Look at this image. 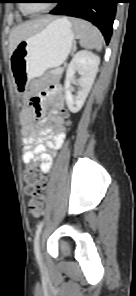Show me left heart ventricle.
<instances>
[{
    "mask_svg": "<svg viewBox=\"0 0 136 296\" xmlns=\"http://www.w3.org/2000/svg\"><path fill=\"white\" fill-rule=\"evenodd\" d=\"M30 5V7H32L33 9H41L43 7H45L48 3L46 1H38V0H33L30 3H28Z\"/></svg>",
    "mask_w": 136,
    "mask_h": 296,
    "instance_id": "b2bd125f",
    "label": "left heart ventricle"
}]
</instances>
